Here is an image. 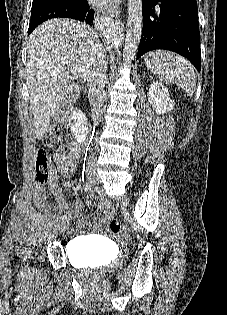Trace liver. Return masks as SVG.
<instances>
[{"mask_svg":"<svg viewBox=\"0 0 227 315\" xmlns=\"http://www.w3.org/2000/svg\"><path fill=\"white\" fill-rule=\"evenodd\" d=\"M100 47L104 52L97 32L74 20H49L32 32L27 43L26 81L36 138L48 131L51 117L76 102L78 73L71 68H83L90 78Z\"/></svg>","mask_w":227,"mask_h":315,"instance_id":"1","label":"liver"}]
</instances>
